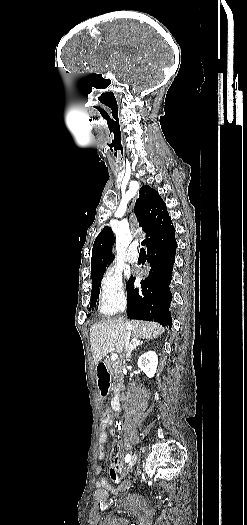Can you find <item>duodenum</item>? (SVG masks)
I'll return each instance as SVG.
<instances>
[{
	"label": "duodenum",
	"instance_id": "410a0bca",
	"mask_svg": "<svg viewBox=\"0 0 247 525\" xmlns=\"http://www.w3.org/2000/svg\"><path fill=\"white\" fill-rule=\"evenodd\" d=\"M96 380L98 383L99 391L102 395H107L110 389V373L109 367L106 362H100L96 367ZM122 402L121 397L116 395L111 400V407L115 412H118L121 408Z\"/></svg>",
	"mask_w": 247,
	"mask_h": 525
}]
</instances>
